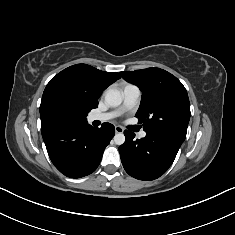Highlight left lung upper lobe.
<instances>
[{
    "label": "left lung upper lobe",
    "instance_id": "left-lung-upper-lobe-1",
    "mask_svg": "<svg viewBox=\"0 0 235 235\" xmlns=\"http://www.w3.org/2000/svg\"><path fill=\"white\" fill-rule=\"evenodd\" d=\"M122 78L142 91L136 113L147 133L164 134L180 141L186 138L190 119V102L182 83L159 68L120 72Z\"/></svg>",
    "mask_w": 235,
    "mask_h": 235
}]
</instances>
